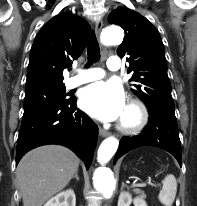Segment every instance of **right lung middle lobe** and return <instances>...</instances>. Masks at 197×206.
<instances>
[{
    "label": "right lung middle lobe",
    "mask_w": 197,
    "mask_h": 206,
    "mask_svg": "<svg viewBox=\"0 0 197 206\" xmlns=\"http://www.w3.org/2000/svg\"><path fill=\"white\" fill-rule=\"evenodd\" d=\"M68 101L65 86H40L25 89L24 115Z\"/></svg>",
    "instance_id": "dd1d6c3e"
}]
</instances>
